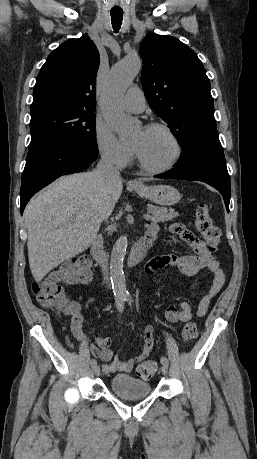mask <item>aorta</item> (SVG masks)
<instances>
[{
    "label": "aorta",
    "instance_id": "762f6f07",
    "mask_svg": "<svg viewBox=\"0 0 257 459\" xmlns=\"http://www.w3.org/2000/svg\"><path fill=\"white\" fill-rule=\"evenodd\" d=\"M140 68L141 60L137 56L121 60L111 69L103 91L104 117L122 142L134 139L138 124L118 108V102L123 98ZM127 246V237L120 236L116 240L111 253L110 276L116 299H122L127 296L123 271V260Z\"/></svg>",
    "mask_w": 257,
    "mask_h": 459
}]
</instances>
